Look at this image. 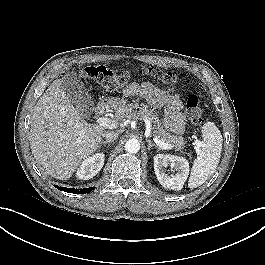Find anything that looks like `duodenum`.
<instances>
[{
	"instance_id": "obj_1",
	"label": "duodenum",
	"mask_w": 265,
	"mask_h": 265,
	"mask_svg": "<svg viewBox=\"0 0 265 265\" xmlns=\"http://www.w3.org/2000/svg\"><path fill=\"white\" fill-rule=\"evenodd\" d=\"M110 104L111 102L109 101H104V102L99 103L96 107V113L103 114L109 108Z\"/></svg>"
}]
</instances>
